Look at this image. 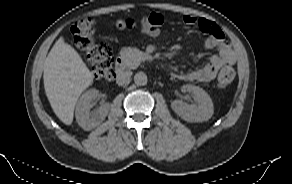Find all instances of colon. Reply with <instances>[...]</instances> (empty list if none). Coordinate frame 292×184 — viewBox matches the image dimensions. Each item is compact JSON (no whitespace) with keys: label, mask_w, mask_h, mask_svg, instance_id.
I'll return each instance as SVG.
<instances>
[{"label":"colon","mask_w":292,"mask_h":184,"mask_svg":"<svg viewBox=\"0 0 292 184\" xmlns=\"http://www.w3.org/2000/svg\"><path fill=\"white\" fill-rule=\"evenodd\" d=\"M161 19L150 14L143 22L144 32L152 37L160 33ZM120 29L132 28L135 22L131 19H121L116 22ZM76 46L84 53L92 66V73L96 79L111 80L113 78V57L110 48L94 38V21L91 18L81 19L71 27ZM235 71L231 66L223 67L218 75V87L225 89L234 79Z\"/></svg>","instance_id":"5ec220e1"}]
</instances>
